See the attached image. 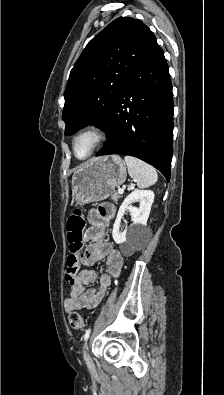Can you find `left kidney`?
Listing matches in <instances>:
<instances>
[{"label": "left kidney", "instance_id": "5707ae66", "mask_svg": "<svg viewBox=\"0 0 224 395\" xmlns=\"http://www.w3.org/2000/svg\"><path fill=\"white\" fill-rule=\"evenodd\" d=\"M135 201L140 202L139 208L131 206ZM153 201L154 192L151 190H134L125 198L113 225L112 237L117 244L126 242L127 235L135 239L143 236ZM127 210L130 211L133 223L128 229L120 231L121 219Z\"/></svg>", "mask_w": 224, "mask_h": 395}]
</instances>
